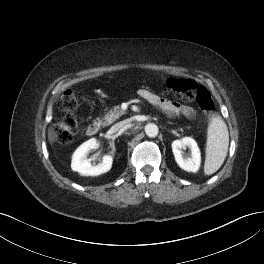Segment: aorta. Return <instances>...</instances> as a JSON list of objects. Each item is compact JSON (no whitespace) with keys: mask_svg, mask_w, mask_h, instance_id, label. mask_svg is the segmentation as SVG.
<instances>
[{"mask_svg":"<svg viewBox=\"0 0 264 264\" xmlns=\"http://www.w3.org/2000/svg\"><path fill=\"white\" fill-rule=\"evenodd\" d=\"M145 133L148 137H151V138L156 137L159 133L158 126L154 123L147 124L145 126Z\"/></svg>","mask_w":264,"mask_h":264,"instance_id":"obj_1","label":"aorta"}]
</instances>
